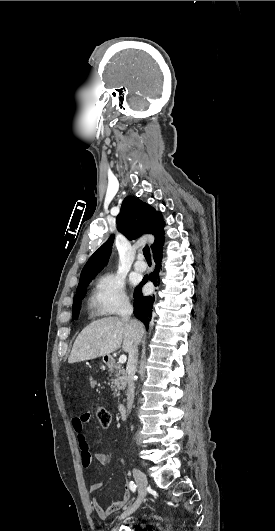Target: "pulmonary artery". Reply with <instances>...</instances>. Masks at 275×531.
Segmentation results:
<instances>
[{
    "mask_svg": "<svg viewBox=\"0 0 275 531\" xmlns=\"http://www.w3.org/2000/svg\"><path fill=\"white\" fill-rule=\"evenodd\" d=\"M137 259L138 260L134 263V269L141 272L145 271L147 269V264L144 261L142 250L138 252Z\"/></svg>",
    "mask_w": 275,
    "mask_h": 531,
    "instance_id": "pulmonary-artery-1",
    "label": "pulmonary artery"
}]
</instances>
